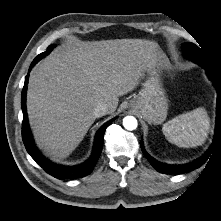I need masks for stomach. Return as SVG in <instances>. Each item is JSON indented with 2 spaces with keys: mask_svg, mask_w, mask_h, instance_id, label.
Segmentation results:
<instances>
[{
  "mask_svg": "<svg viewBox=\"0 0 221 221\" xmlns=\"http://www.w3.org/2000/svg\"><path fill=\"white\" fill-rule=\"evenodd\" d=\"M148 77L142 88L129 103L143 118L153 124H161L167 117L168 99L162 85V68L158 63L147 70Z\"/></svg>",
  "mask_w": 221,
  "mask_h": 221,
  "instance_id": "obj_1",
  "label": "stomach"
}]
</instances>
